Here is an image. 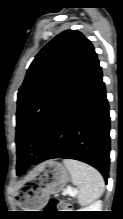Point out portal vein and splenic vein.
<instances>
[{"mask_svg": "<svg viewBox=\"0 0 123 219\" xmlns=\"http://www.w3.org/2000/svg\"><path fill=\"white\" fill-rule=\"evenodd\" d=\"M64 194H69L71 196H75L77 194V190H74V189H66L64 191Z\"/></svg>", "mask_w": 123, "mask_h": 219, "instance_id": "1", "label": "portal vein and splenic vein"}]
</instances>
